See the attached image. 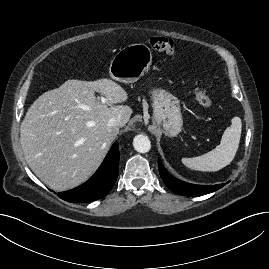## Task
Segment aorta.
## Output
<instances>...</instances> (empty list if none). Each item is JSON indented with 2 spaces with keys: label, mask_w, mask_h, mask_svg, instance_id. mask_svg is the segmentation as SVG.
Here are the masks:
<instances>
[{
  "label": "aorta",
  "mask_w": 269,
  "mask_h": 269,
  "mask_svg": "<svg viewBox=\"0 0 269 269\" xmlns=\"http://www.w3.org/2000/svg\"><path fill=\"white\" fill-rule=\"evenodd\" d=\"M133 146L134 149L139 153H146L151 149L149 138L143 134H139L134 137Z\"/></svg>",
  "instance_id": "aorta-1"
}]
</instances>
